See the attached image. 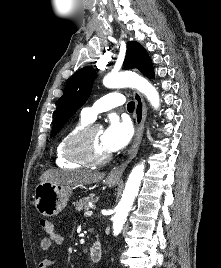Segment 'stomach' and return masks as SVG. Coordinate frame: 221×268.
I'll return each instance as SVG.
<instances>
[{
	"label": "stomach",
	"mask_w": 221,
	"mask_h": 268,
	"mask_svg": "<svg viewBox=\"0 0 221 268\" xmlns=\"http://www.w3.org/2000/svg\"><path fill=\"white\" fill-rule=\"evenodd\" d=\"M119 179L107 178L109 186H114ZM72 193V187L50 182L39 183L33 195V203L37 211L46 217H52L60 213L67 205Z\"/></svg>",
	"instance_id": "stomach-1"
}]
</instances>
